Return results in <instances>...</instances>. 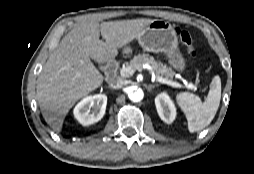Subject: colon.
I'll return each mask as SVG.
<instances>
[{"label": "colon", "instance_id": "1", "mask_svg": "<svg viewBox=\"0 0 254 174\" xmlns=\"http://www.w3.org/2000/svg\"><path fill=\"white\" fill-rule=\"evenodd\" d=\"M177 33L179 35L180 41L183 46L186 48L188 55L190 58L195 59L197 57V50L194 47L193 39L190 33L186 30L177 29Z\"/></svg>", "mask_w": 254, "mask_h": 174}]
</instances>
